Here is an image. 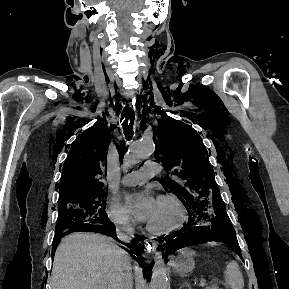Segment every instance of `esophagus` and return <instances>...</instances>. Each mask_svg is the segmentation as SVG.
Instances as JSON below:
<instances>
[{
	"mask_svg": "<svg viewBox=\"0 0 289 289\" xmlns=\"http://www.w3.org/2000/svg\"><path fill=\"white\" fill-rule=\"evenodd\" d=\"M130 104H131V103H130ZM132 105H133V103H132ZM145 245H146L148 251H150V252H152V253H154V254L157 253V249H158V242H157V241H155V240L152 239V238H147V239L145 240Z\"/></svg>",
	"mask_w": 289,
	"mask_h": 289,
	"instance_id": "1",
	"label": "esophagus"
}]
</instances>
